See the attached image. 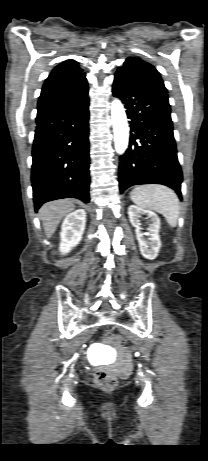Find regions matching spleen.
I'll return each mask as SVG.
<instances>
[{
	"mask_svg": "<svg viewBox=\"0 0 208 461\" xmlns=\"http://www.w3.org/2000/svg\"><path fill=\"white\" fill-rule=\"evenodd\" d=\"M130 198L137 206L162 214L171 227L177 226L180 206L172 189L159 184L141 185L130 192Z\"/></svg>",
	"mask_w": 208,
	"mask_h": 461,
	"instance_id": "1",
	"label": "spleen"
}]
</instances>
